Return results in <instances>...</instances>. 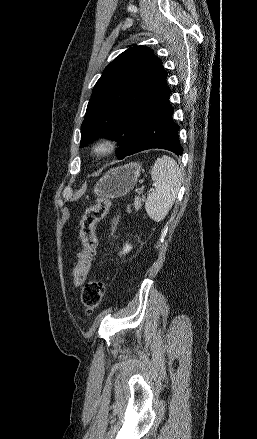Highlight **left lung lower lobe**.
Instances as JSON below:
<instances>
[{"instance_id":"left-lung-lower-lobe-1","label":"left lung lower lobe","mask_w":257,"mask_h":439,"mask_svg":"<svg viewBox=\"0 0 257 439\" xmlns=\"http://www.w3.org/2000/svg\"><path fill=\"white\" fill-rule=\"evenodd\" d=\"M169 95L168 89L149 111L141 124L136 144L127 156L153 148L165 149L177 156L182 155L179 126L172 120L173 108L168 101Z\"/></svg>"}]
</instances>
